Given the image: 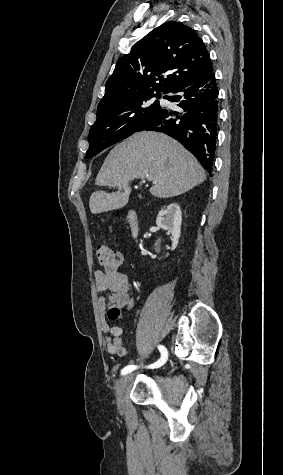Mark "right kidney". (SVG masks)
I'll use <instances>...</instances> for the list:
<instances>
[{
	"mask_svg": "<svg viewBox=\"0 0 283 475\" xmlns=\"http://www.w3.org/2000/svg\"><path fill=\"white\" fill-rule=\"evenodd\" d=\"M181 216L180 206H178V204H170V206H166V208H161L156 218L158 228L171 232L172 247H170V249L177 247L178 239L181 234Z\"/></svg>",
	"mask_w": 283,
	"mask_h": 475,
	"instance_id": "obj_1",
	"label": "right kidney"
}]
</instances>
